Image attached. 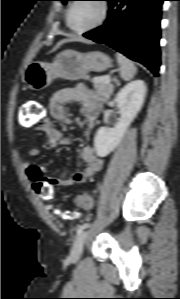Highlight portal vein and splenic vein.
I'll return each instance as SVG.
<instances>
[{"instance_id": "1", "label": "portal vein and splenic vein", "mask_w": 180, "mask_h": 299, "mask_svg": "<svg viewBox=\"0 0 180 299\" xmlns=\"http://www.w3.org/2000/svg\"><path fill=\"white\" fill-rule=\"evenodd\" d=\"M106 82L110 83V77L109 76H106Z\"/></svg>"}]
</instances>
